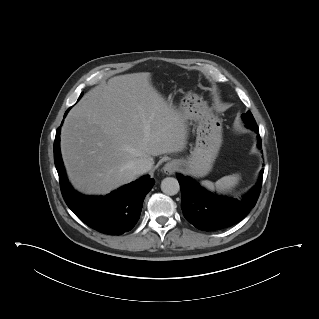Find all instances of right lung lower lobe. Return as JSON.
<instances>
[{
	"mask_svg": "<svg viewBox=\"0 0 319 319\" xmlns=\"http://www.w3.org/2000/svg\"><path fill=\"white\" fill-rule=\"evenodd\" d=\"M59 142L60 127L57 129L54 141V162L67 206L82 222L101 233L120 235L130 231L140 217L143 200L153 187L154 179L150 176L141 177L107 196L81 195L67 180Z\"/></svg>",
	"mask_w": 319,
	"mask_h": 319,
	"instance_id": "98d812e1",
	"label": "right lung lower lobe"
}]
</instances>
